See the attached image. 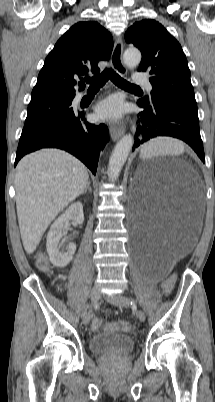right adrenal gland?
I'll list each match as a JSON object with an SVG mask.
<instances>
[{
	"label": "right adrenal gland",
	"instance_id": "2a0ac1e0",
	"mask_svg": "<svg viewBox=\"0 0 215 402\" xmlns=\"http://www.w3.org/2000/svg\"><path fill=\"white\" fill-rule=\"evenodd\" d=\"M87 191H89V193H91V191H92V188L90 186V181H88L86 188L82 192V195L85 194Z\"/></svg>",
	"mask_w": 215,
	"mask_h": 402
}]
</instances>
